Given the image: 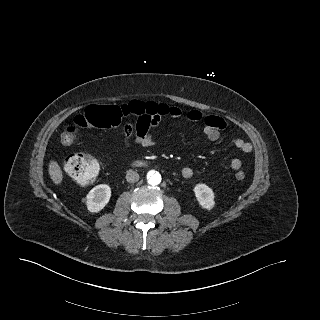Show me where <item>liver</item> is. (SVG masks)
Masks as SVG:
<instances>
[{
  "label": "liver",
  "mask_w": 320,
  "mask_h": 320,
  "mask_svg": "<svg viewBox=\"0 0 320 320\" xmlns=\"http://www.w3.org/2000/svg\"><path fill=\"white\" fill-rule=\"evenodd\" d=\"M48 171L52 181L57 185L61 184V182L63 181V172L59 164L57 163V161L55 160L50 161Z\"/></svg>",
  "instance_id": "6515ba94"
}]
</instances>
